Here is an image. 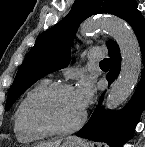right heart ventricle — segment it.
<instances>
[{
    "label": "right heart ventricle",
    "instance_id": "e07e8e85",
    "mask_svg": "<svg viewBox=\"0 0 145 147\" xmlns=\"http://www.w3.org/2000/svg\"><path fill=\"white\" fill-rule=\"evenodd\" d=\"M50 85L52 83L49 79H41L19 101L14 113V133L18 141L31 143L43 140L50 135L43 129L30 124L26 118V108L30 99Z\"/></svg>",
    "mask_w": 145,
    "mask_h": 147
}]
</instances>
